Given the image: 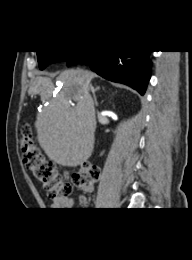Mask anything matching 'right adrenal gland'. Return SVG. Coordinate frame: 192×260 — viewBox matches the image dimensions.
<instances>
[{"mask_svg": "<svg viewBox=\"0 0 192 260\" xmlns=\"http://www.w3.org/2000/svg\"><path fill=\"white\" fill-rule=\"evenodd\" d=\"M90 89H91L93 97H94L95 105L98 106V102H97V98H96V92L100 89V87L98 86V87L94 88L92 85H90Z\"/></svg>", "mask_w": 192, "mask_h": 260, "instance_id": "obj_1", "label": "right adrenal gland"}]
</instances>
